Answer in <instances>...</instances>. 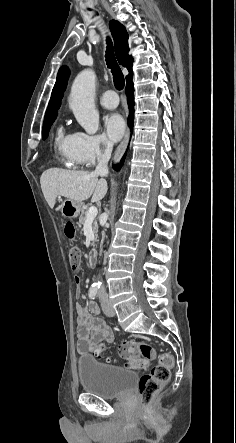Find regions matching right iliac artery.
I'll return each mask as SVG.
<instances>
[{
  "label": "right iliac artery",
  "mask_w": 236,
  "mask_h": 443,
  "mask_svg": "<svg viewBox=\"0 0 236 443\" xmlns=\"http://www.w3.org/2000/svg\"><path fill=\"white\" fill-rule=\"evenodd\" d=\"M98 290H99L98 286L92 285L89 289V297L91 299H95L97 297Z\"/></svg>",
  "instance_id": "obj_1"
}]
</instances>
